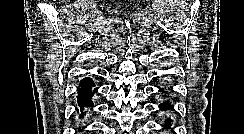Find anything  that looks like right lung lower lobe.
<instances>
[{"instance_id":"98d812e1","label":"right lung lower lobe","mask_w":244,"mask_h":134,"mask_svg":"<svg viewBox=\"0 0 244 134\" xmlns=\"http://www.w3.org/2000/svg\"><path fill=\"white\" fill-rule=\"evenodd\" d=\"M92 87H95L94 82L91 78H85L81 80L79 87H78V106L80 107V117H84L85 112L83 111L84 107H91L93 106V102L91 98L93 95L97 92L98 88H94L92 90ZM79 113V110H77Z\"/></svg>"}]
</instances>
